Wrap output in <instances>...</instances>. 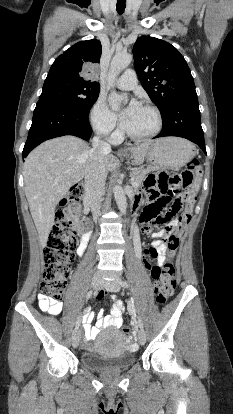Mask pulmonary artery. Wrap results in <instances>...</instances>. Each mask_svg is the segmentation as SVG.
I'll use <instances>...</instances> for the list:
<instances>
[{"instance_id":"1","label":"pulmonary artery","mask_w":233,"mask_h":414,"mask_svg":"<svg viewBox=\"0 0 233 414\" xmlns=\"http://www.w3.org/2000/svg\"><path fill=\"white\" fill-rule=\"evenodd\" d=\"M138 80L133 69H127L117 80L116 85L124 90H131L137 86Z\"/></svg>"}]
</instances>
